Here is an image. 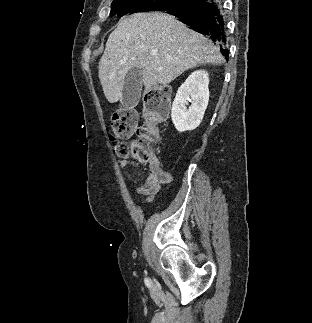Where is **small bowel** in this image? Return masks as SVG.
Masks as SVG:
<instances>
[{
  "mask_svg": "<svg viewBox=\"0 0 312 323\" xmlns=\"http://www.w3.org/2000/svg\"><path fill=\"white\" fill-rule=\"evenodd\" d=\"M130 164L134 163L127 159L120 160L121 168H125ZM144 169L147 171V176L144 182L138 186L137 193L146 197L142 204H148L153 201L163 186L173 182V176L161 168L160 161L156 157H153Z\"/></svg>",
  "mask_w": 312,
  "mask_h": 323,
  "instance_id": "small-bowel-1",
  "label": "small bowel"
}]
</instances>
